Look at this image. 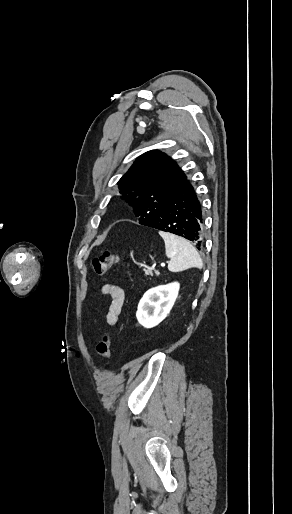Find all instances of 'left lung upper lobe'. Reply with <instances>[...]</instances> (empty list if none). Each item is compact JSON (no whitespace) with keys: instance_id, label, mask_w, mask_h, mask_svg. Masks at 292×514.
<instances>
[{"instance_id":"1","label":"left lung upper lobe","mask_w":292,"mask_h":514,"mask_svg":"<svg viewBox=\"0 0 292 514\" xmlns=\"http://www.w3.org/2000/svg\"><path fill=\"white\" fill-rule=\"evenodd\" d=\"M187 180L168 155L158 150L138 157L118 181L121 198L134 208L138 222L146 225L156 218L171 196Z\"/></svg>"}]
</instances>
